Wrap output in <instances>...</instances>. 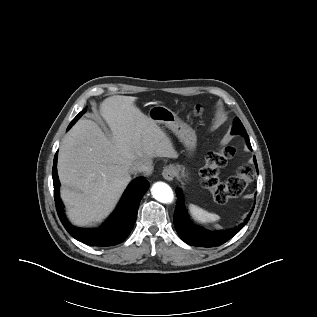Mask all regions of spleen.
<instances>
[{"mask_svg":"<svg viewBox=\"0 0 317 317\" xmlns=\"http://www.w3.org/2000/svg\"><path fill=\"white\" fill-rule=\"evenodd\" d=\"M189 211L192 217L199 223L207 224L212 223L215 221H218L220 219V216H218L215 213H210L199 206H196L194 204L189 205Z\"/></svg>","mask_w":317,"mask_h":317,"instance_id":"obj_1","label":"spleen"}]
</instances>
